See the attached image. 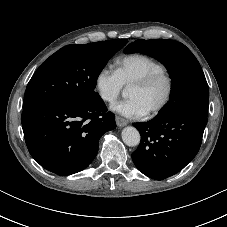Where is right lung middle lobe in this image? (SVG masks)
<instances>
[{
  "label": "right lung middle lobe",
  "mask_w": 227,
  "mask_h": 227,
  "mask_svg": "<svg viewBox=\"0 0 227 227\" xmlns=\"http://www.w3.org/2000/svg\"><path fill=\"white\" fill-rule=\"evenodd\" d=\"M126 44L127 40H108L61 48L32 76L23 108L52 100L84 102L99 97L94 88L100 72Z\"/></svg>",
  "instance_id": "1"
}]
</instances>
